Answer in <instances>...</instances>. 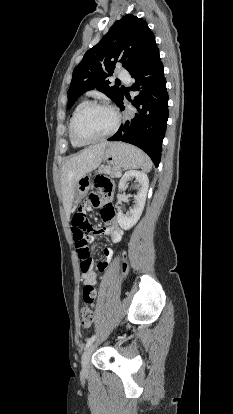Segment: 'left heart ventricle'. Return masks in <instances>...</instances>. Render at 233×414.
I'll use <instances>...</instances> for the list:
<instances>
[{
    "mask_svg": "<svg viewBox=\"0 0 233 414\" xmlns=\"http://www.w3.org/2000/svg\"><path fill=\"white\" fill-rule=\"evenodd\" d=\"M114 124L113 114L103 108L85 111L76 123V135L81 139H93L104 135Z\"/></svg>",
    "mask_w": 233,
    "mask_h": 414,
    "instance_id": "obj_1",
    "label": "left heart ventricle"
}]
</instances>
